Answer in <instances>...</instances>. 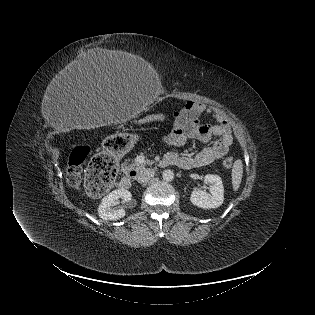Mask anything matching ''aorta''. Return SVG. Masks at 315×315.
Listing matches in <instances>:
<instances>
[{"instance_id": "obj_1", "label": "aorta", "mask_w": 315, "mask_h": 315, "mask_svg": "<svg viewBox=\"0 0 315 315\" xmlns=\"http://www.w3.org/2000/svg\"><path fill=\"white\" fill-rule=\"evenodd\" d=\"M162 178H163V180H165L167 182L172 181L174 179L173 171H171L169 169L164 170L163 174H162Z\"/></svg>"}]
</instances>
